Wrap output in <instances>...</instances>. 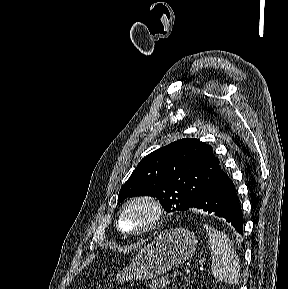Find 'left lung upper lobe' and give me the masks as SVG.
Instances as JSON below:
<instances>
[{"label":"left lung upper lobe","instance_id":"left-lung-upper-lobe-1","mask_svg":"<svg viewBox=\"0 0 288 289\" xmlns=\"http://www.w3.org/2000/svg\"><path fill=\"white\" fill-rule=\"evenodd\" d=\"M222 169L212 147L197 139L177 140L144 157L122 186L127 197H156L167 212L186 211Z\"/></svg>","mask_w":288,"mask_h":289}]
</instances>
